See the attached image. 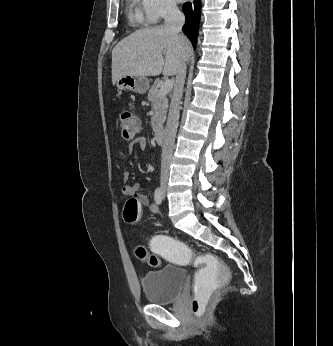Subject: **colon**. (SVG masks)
Returning a JSON list of instances; mask_svg holds the SVG:
<instances>
[{
	"mask_svg": "<svg viewBox=\"0 0 333 346\" xmlns=\"http://www.w3.org/2000/svg\"><path fill=\"white\" fill-rule=\"evenodd\" d=\"M119 123L123 140L131 141L138 133L140 123L130 111L120 113ZM123 217L127 224L136 225L140 218V203L136 198L127 200L124 206ZM149 248L151 253L147 250ZM145 246L138 244L134 248L136 257L151 267H158L162 256L168 264H175L176 268H187L192 264V271H197L193 284V311L198 314L201 310H209V299L216 294V288H225L231 275V270L224 264V257L202 255L190 257L192 251L183 240H176L175 235L169 233H153Z\"/></svg>",
	"mask_w": 333,
	"mask_h": 346,
	"instance_id": "5ec220e1",
	"label": "colon"
}]
</instances>
